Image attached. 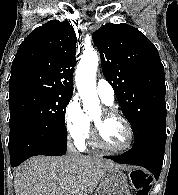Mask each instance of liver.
Here are the masks:
<instances>
[{
    "instance_id": "liver-1",
    "label": "liver",
    "mask_w": 178,
    "mask_h": 195,
    "mask_svg": "<svg viewBox=\"0 0 178 195\" xmlns=\"http://www.w3.org/2000/svg\"><path fill=\"white\" fill-rule=\"evenodd\" d=\"M115 167L125 168L90 155L36 156L14 170L15 195H91Z\"/></svg>"
}]
</instances>
